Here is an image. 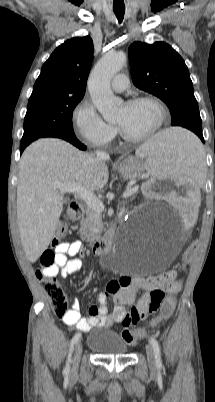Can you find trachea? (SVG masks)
Here are the masks:
<instances>
[{"label":"trachea","instance_id":"trachea-1","mask_svg":"<svg viewBox=\"0 0 215 402\" xmlns=\"http://www.w3.org/2000/svg\"><path fill=\"white\" fill-rule=\"evenodd\" d=\"M114 13H115L119 23H121L123 20V17H124L125 9H114Z\"/></svg>","mask_w":215,"mask_h":402}]
</instances>
